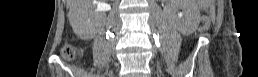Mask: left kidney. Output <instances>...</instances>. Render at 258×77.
<instances>
[{
  "label": "left kidney",
  "instance_id": "1",
  "mask_svg": "<svg viewBox=\"0 0 258 77\" xmlns=\"http://www.w3.org/2000/svg\"><path fill=\"white\" fill-rule=\"evenodd\" d=\"M181 23L185 25L187 23H191V24L194 23L193 11L189 7L184 8V17L182 18Z\"/></svg>",
  "mask_w": 258,
  "mask_h": 77
}]
</instances>
